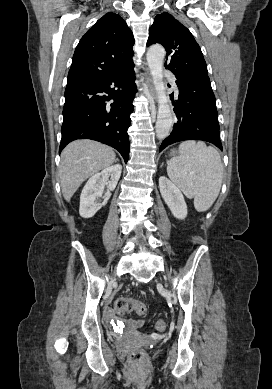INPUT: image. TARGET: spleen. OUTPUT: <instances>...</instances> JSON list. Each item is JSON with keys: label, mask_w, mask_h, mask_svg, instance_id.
<instances>
[{"label": "spleen", "mask_w": 272, "mask_h": 389, "mask_svg": "<svg viewBox=\"0 0 272 389\" xmlns=\"http://www.w3.org/2000/svg\"><path fill=\"white\" fill-rule=\"evenodd\" d=\"M180 155L167 165L169 178L188 198H194L198 212L208 210L221 189L223 165L218 151L203 142L185 141L179 146Z\"/></svg>", "instance_id": "obj_1"}]
</instances>
